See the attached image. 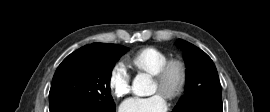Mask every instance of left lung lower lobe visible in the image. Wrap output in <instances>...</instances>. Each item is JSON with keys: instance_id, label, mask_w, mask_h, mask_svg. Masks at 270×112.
<instances>
[{"instance_id": "obj_1", "label": "left lung lower lobe", "mask_w": 270, "mask_h": 112, "mask_svg": "<svg viewBox=\"0 0 270 112\" xmlns=\"http://www.w3.org/2000/svg\"><path fill=\"white\" fill-rule=\"evenodd\" d=\"M183 112H222V108H216L212 106L196 105Z\"/></svg>"}]
</instances>
